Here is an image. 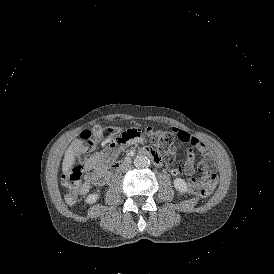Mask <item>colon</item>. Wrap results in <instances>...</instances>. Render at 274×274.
<instances>
[{
    "label": "colon",
    "instance_id": "5ec220e1",
    "mask_svg": "<svg viewBox=\"0 0 274 274\" xmlns=\"http://www.w3.org/2000/svg\"><path fill=\"white\" fill-rule=\"evenodd\" d=\"M144 131L112 128L102 131L101 136L112 142L117 147H121L126 144H138L139 140H144L145 136H147L155 146L160 158L169 156L174 157L171 154V151H175L178 147H181L182 141L177 140L176 135H170L165 128L158 130L148 126L144 129ZM99 135V133L94 134L95 137H98ZM76 138L78 142H89L91 137L89 133H78ZM80 152L81 145L78 146V150H74L73 155L75 156V160L71 162L69 166H65L64 169V185L66 192L65 202L68 205H75L77 203L78 183L82 177ZM189 192L199 198H206L210 195L207 187L201 181V178L194 180L189 184Z\"/></svg>",
    "mask_w": 274,
    "mask_h": 274
}]
</instances>
